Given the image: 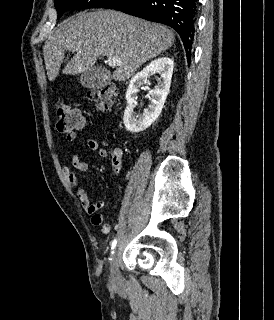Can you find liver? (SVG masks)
I'll return each instance as SVG.
<instances>
[{"instance_id": "obj_1", "label": "liver", "mask_w": 274, "mask_h": 320, "mask_svg": "<svg viewBox=\"0 0 274 320\" xmlns=\"http://www.w3.org/2000/svg\"><path fill=\"white\" fill-rule=\"evenodd\" d=\"M174 44V34L162 24L147 22L115 10L79 12L64 20L43 46L49 82L59 74L65 52H76L63 74H82L91 70L99 56L116 58L121 66L113 76L126 82L143 64L157 58Z\"/></svg>"}]
</instances>
